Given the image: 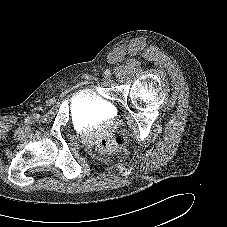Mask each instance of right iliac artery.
I'll return each instance as SVG.
<instances>
[{
  "label": "right iliac artery",
  "mask_w": 227,
  "mask_h": 227,
  "mask_svg": "<svg viewBox=\"0 0 227 227\" xmlns=\"http://www.w3.org/2000/svg\"><path fill=\"white\" fill-rule=\"evenodd\" d=\"M29 121H30V119H29V118L25 119V122H27V123H28Z\"/></svg>",
  "instance_id": "obj_1"
}]
</instances>
